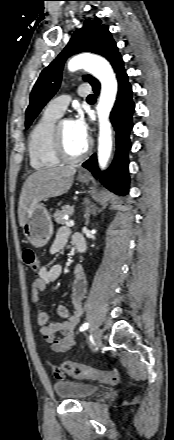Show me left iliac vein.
<instances>
[{"instance_id":"1","label":"left iliac vein","mask_w":174,"mask_h":440,"mask_svg":"<svg viewBox=\"0 0 174 440\" xmlns=\"http://www.w3.org/2000/svg\"><path fill=\"white\" fill-rule=\"evenodd\" d=\"M101 338H102V330L98 328L94 332V343H95V345H100L101 344Z\"/></svg>"}]
</instances>
